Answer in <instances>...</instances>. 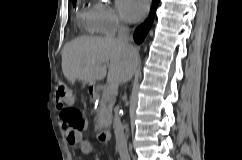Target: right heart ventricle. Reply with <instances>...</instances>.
<instances>
[{
	"label": "right heart ventricle",
	"mask_w": 242,
	"mask_h": 160,
	"mask_svg": "<svg viewBox=\"0 0 242 160\" xmlns=\"http://www.w3.org/2000/svg\"><path fill=\"white\" fill-rule=\"evenodd\" d=\"M76 19L81 27H84L89 34L98 33L92 8L82 7L78 10Z\"/></svg>",
	"instance_id": "obj_1"
}]
</instances>
